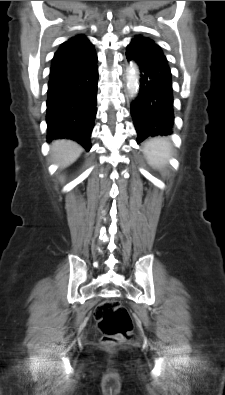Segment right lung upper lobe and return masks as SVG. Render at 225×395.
<instances>
[{"label":"right lung upper lobe","mask_w":225,"mask_h":395,"mask_svg":"<svg viewBox=\"0 0 225 395\" xmlns=\"http://www.w3.org/2000/svg\"><path fill=\"white\" fill-rule=\"evenodd\" d=\"M96 58L92 43L84 35H76L60 45L52 59L50 75L83 68Z\"/></svg>","instance_id":"right-lung-upper-lobe-1"}]
</instances>
